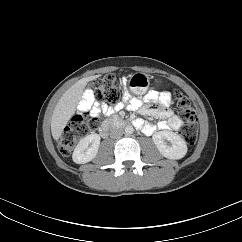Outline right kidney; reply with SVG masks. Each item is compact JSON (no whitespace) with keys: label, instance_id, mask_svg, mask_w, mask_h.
<instances>
[{"label":"right kidney","instance_id":"ca27d5eb","mask_svg":"<svg viewBox=\"0 0 242 242\" xmlns=\"http://www.w3.org/2000/svg\"><path fill=\"white\" fill-rule=\"evenodd\" d=\"M100 145V136L90 134L85 136L74 149L72 159L77 164H84L91 161L97 155Z\"/></svg>","mask_w":242,"mask_h":242}]
</instances>
